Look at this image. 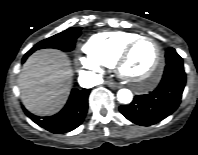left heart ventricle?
Masks as SVG:
<instances>
[{
	"label": "left heart ventricle",
	"mask_w": 198,
	"mask_h": 155,
	"mask_svg": "<svg viewBox=\"0 0 198 155\" xmlns=\"http://www.w3.org/2000/svg\"><path fill=\"white\" fill-rule=\"evenodd\" d=\"M156 46L153 42L143 40L131 51L124 64V71L131 77L144 78L152 71L156 61Z\"/></svg>",
	"instance_id": "obj_1"
}]
</instances>
